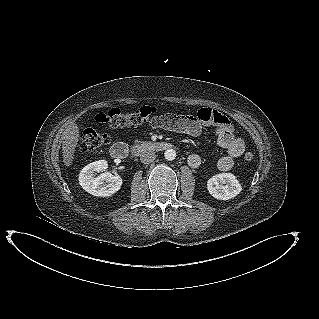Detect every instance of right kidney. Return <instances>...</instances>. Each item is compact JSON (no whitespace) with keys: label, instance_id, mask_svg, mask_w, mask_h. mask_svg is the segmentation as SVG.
<instances>
[{"label":"right kidney","instance_id":"right-kidney-1","mask_svg":"<svg viewBox=\"0 0 319 319\" xmlns=\"http://www.w3.org/2000/svg\"><path fill=\"white\" fill-rule=\"evenodd\" d=\"M108 168L106 160L94 161L85 166L79 174V184L88 193L98 197H109L122 186L121 177L104 172ZM102 172L96 176L97 173Z\"/></svg>","mask_w":319,"mask_h":319}]
</instances>
